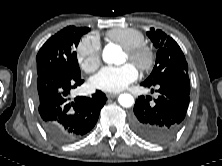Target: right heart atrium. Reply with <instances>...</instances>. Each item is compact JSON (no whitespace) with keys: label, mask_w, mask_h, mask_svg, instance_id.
I'll return each instance as SVG.
<instances>
[{"label":"right heart atrium","mask_w":222,"mask_h":166,"mask_svg":"<svg viewBox=\"0 0 222 166\" xmlns=\"http://www.w3.org/2000/svg\"><path fill=\"white\" fill-rule=\"evenodd\" d=\"M76 58L84 71H95L101 63L99 40L93 35L84 37L76 48Z\"/></svg>","instance_id":"obj_1"}]
</instances>
